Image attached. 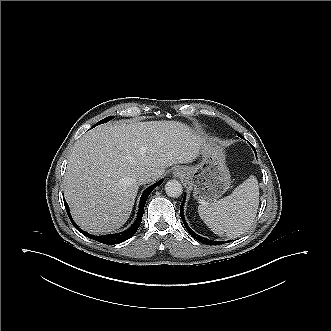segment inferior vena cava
Segmentation results:
<instances>
[{"instance_id":"602c4592","label":"inferior vena cava","mask_w":331,"mask_h":331,"mask_svg":"<svg viewBox=\"0 0 331 331\" xmlns=\"http://www.w3.org/2000/svg\"><path fill=\"white\" fill-rule=\"evenodd\" d=\"M156 177H157V175L154 174V173L144 174V175H141L138 178V183L140 185L146 184V183H149V182H152V181L156 180Z\"/></svg>"}]
</instances>
